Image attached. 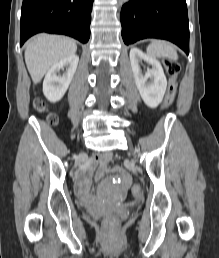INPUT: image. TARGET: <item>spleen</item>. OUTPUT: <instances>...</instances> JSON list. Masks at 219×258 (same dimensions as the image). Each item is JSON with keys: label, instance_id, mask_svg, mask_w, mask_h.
I'll return each instance as SVG.
<instances>
[{"label": "spleen", "instance_id": "obj_1", "mask_svg": "<svg viewBox=\"0 0 219 258\" xmlns=\"http://www.w3.org/2000/svg\"><path fill=\"white\" fill-rule=\"evenodd\" d=\"M147 54L153 58L166 57L177 60L178 55L175 48L165 41L154 40L147 47Z\"/></svg>", "mask_w": 219, "mask_h": 258}]
</instances>
